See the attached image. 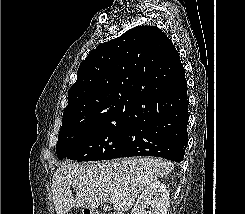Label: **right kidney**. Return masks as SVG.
I'll return each instance as SVG.
<instances>
[{
  "instance_id": "1",
  "label": "right kidney",
  "mask_w": 245,
  "mask_h": 214,
  "mask_svg": "<svg viewBox=\"0 0 245 214\" xmlns=\"http://www.w3.org/2000/svg\"><path fill=\"white\" fill-rule=\"evenodd\" d=\"M169 192L164 183L156 180L138 197L131 214H167Z\"/></svg>"
}]
</instances>
